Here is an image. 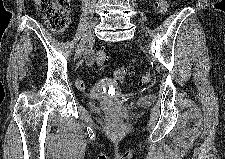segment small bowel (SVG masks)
<instances>
[{
    "mask_svg": "<svg viewBox=\"0 0 225 159\" xmlns=\"http://www.w3.org/2000/svg\"><path fill=\"white\" fill-rule=\"evenodd\" d=\"M93 61H94L93 52L90 51V52L87 53L86 56H85V64L91 65V64H93ZM108 83H109V80H103V81H102V84H108ZM76 85H77V87H78L80 90H83V91L86 90V84H85V82H84L83 80L77 79V80H76ZM95 90H96V89L94 88V89L90 90V92L93 93V92H95Z\"/></svg>",
    "mask_w": 225,
    "mask_h": 159,
    "instance_id": "1",
    "label": "small bowel"
}]
</instances>
